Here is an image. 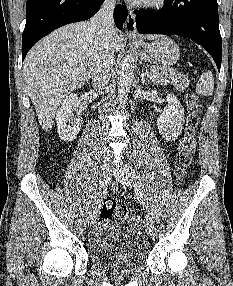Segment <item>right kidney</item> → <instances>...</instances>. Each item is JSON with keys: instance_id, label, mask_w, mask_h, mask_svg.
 Returning a JSON list of instances; mask_svg holds the SVG:
<instances>
[{"instance_id": "1", "label": "right kidney", "mask_w": 233, "mask_h": 286, "mask_svg": "<svg viewBox=\"0 0 233 286\" xmlns=\"http://www.w3.org/2000/svg\"><path fill=\"white\" fill-rule=\"evenodd\" d=\"M80 108V99L77 94H70L61 102L56 114V122L57 132L62 140L71 142L77 137L83 123L79 116ZM74 111H77L76 118Z\"/></svg>"}]
</instances>
